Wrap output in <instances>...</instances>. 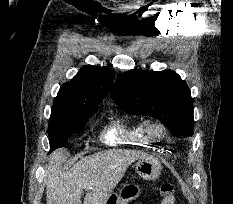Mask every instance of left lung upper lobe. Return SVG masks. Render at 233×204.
<instances>
[{"mask_svg":"<svg viewBox=\"0 0 233 204\" xmlns=\"http://www.w3.org/2000/svg\"><path fill=\"white\" fill-rule=\"evenodd\" d=\"M111 97L131 115L159 119L174 135L192 136L194 133L191 93L174 71L124 73L116 79Z\"/></svg>","mask_w":233,"mask_h":204,"instance_id":"1","label":"left lung upper lobe"}]
</instances>
